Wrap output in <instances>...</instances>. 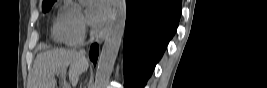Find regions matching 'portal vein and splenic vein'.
I'll use <instances>...</instances> for the list:
<instances>
[{"label":"portal vein and splenic vein","mask_w":267,"mask_h":88,"mask_svg":"<svg viewBox=\"0 0 267 88\" xmlns=\"http://www.w3.org/2000/svg\"><path fill=\"white\" fill-rule=\"evenodd\" d=\"M65 72H66V71L63 69V70L59 71V72L57 73V75L61 74L62 77H65ZM64 88H70V86H69L68 84H65V85H64Z\"/></svg>","instance_id":"18ae733b"}]
</instances>
